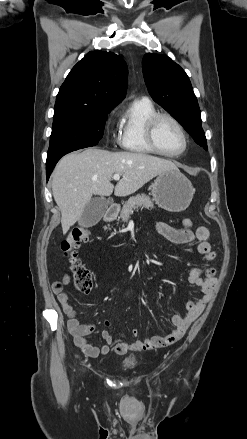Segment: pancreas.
<instances>
[{"label": "pancreas", "mask_w": 247, "mask_h": 439, "mask_svg": "<svg viewBox=\"0 0 247 439\" xmlns=\"http://www.w3.org/2000/svg\"><path fill=\"white\" fill-rule=\"evenodd\" d=\"M139 208L153 209L154 203L150 197L145 194L133 196L129 198V200L123 205V208L120 212V218L123 222H127L134 210Z\"/></svg>", "instance_id": "1"}]
</instances>
